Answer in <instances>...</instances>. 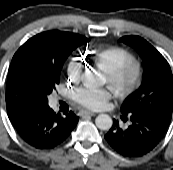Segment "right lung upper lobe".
I'll use <instances>...</instances> for the list:
<instances>
[{"mask_svg": "<svg viewBox=\"0 0 173 170\" xmlns=\"http://www.w3.org/2000/svg\"><path fill=\"white\" fill-rule=\"evenodd\" d=\"M89 42L79 34L46 31L25 42L15 53L8 71L6 87L7 110L13 106L32 102V87L19 74L18 65L25 62L38 75L52 70L60 74L68 56L76 48Z\"/></svg>", "mask_w": 173, "mask_h": 170, "instance_id": "obj_1", "label": "right lung upper lobe"}]
</instances>
